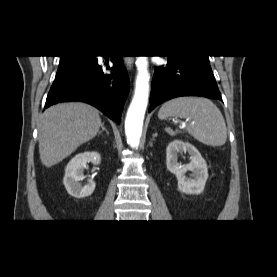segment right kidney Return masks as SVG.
Segmentation results:
<instances>
[{"mask_svg": "<svg viewBox=\"0 0 277 277\" xmlns=\"http://www.w3.org/2000/svg\"><path fill=\"white\" fill-rule=\"evenodd\" d=\"M89 162L99 165L101 162L100 154L98 152L77 154L66 166L63 184L67 192L75 198L90 196L95 190V182L91 179H88L85 185L80 183V181L85 179L83 170Z\"/></svg>", "mask_w": 277, "mask_h": 277, "instance_id": "obj_1", "label": "right kidney"}]
</instances>
